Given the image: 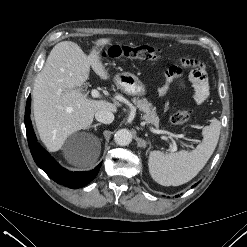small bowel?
Here are the masks:
<instances>
[{
	"label": "small bowel",
	"mask_w": 247,
	"mask_h": 247,
	"mask_svg": "<svg viewBox=\"0 0 247 247\" xmlns=\"http://www.w3.org/2000/svg\"><path fill=\"white\" fill-rule=\"evenodd\" d=\"M183 66L191 67L189 73V79L193 86V100L196 103L204 102L209 95V85L205 73V69L202 65L196 61L190 59H183ZM180 69L177 67H172L169 69L168 73V83L172 82L180 76ZM168 90V84L160 89V94L164 95Z\"/></svg>",
	"instance_id": "c3829d8e"
}]
</instances>
